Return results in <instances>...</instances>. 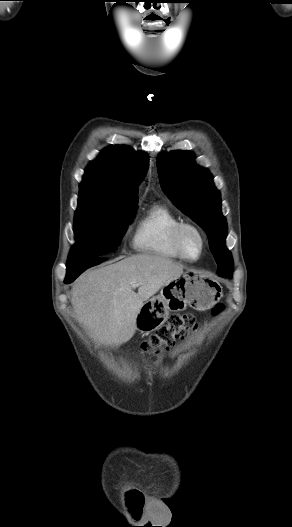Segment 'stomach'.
<instances>
[{
  "label": "stomach",
  "instance_id": "obj_1",
  "mask_svg": "<svg viewBox=\"0 0 292 527\" xmlns=\"http://www.w3.org/2000/svg\"><path fill=\"white\" fill-rule=\"evenodd\" d=\"M221 296L222 287L217 280L198 272H186L163 286L158 296L144 302L136 317V329L150 333L165 323L170 311H183L187 306L204 311Z\"/></svg>",
  "mask_w": 292,
  "mask_h": 527
}]
</instances>
